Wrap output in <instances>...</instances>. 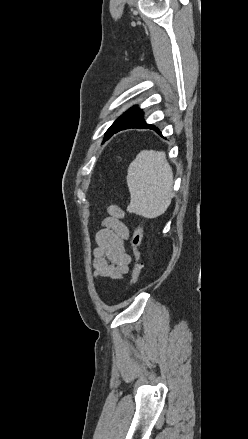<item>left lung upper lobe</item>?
<instances>
[{"label": "left lung upper lobe", "mask_w": 248, "mask_h": 439, "mask_svg": "<svg viewBox=\"0 0 248 439\" xmlns=\"http://www.w3.org/2000/svg\"><path fill=\"white\" fill-rule=\"evenodd\" d=\"M135 109V107L131 108L129 111H127L126 113H124L121 117H119L113 124L112 126L107 130V132L105 133V135L107 136L108 133L110 132V130L116 126L122 119H124L127 115H129L133 110ZM106 139V138H105Z\"/></svg>", "instance_id": "left-lung-upper-lobe-1"}]
</instances>
